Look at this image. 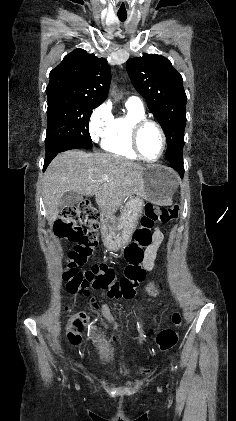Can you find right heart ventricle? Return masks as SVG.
I'll use <instances>...</instances> for the list:
<instances>
[{
	"mask_svg": "<svg viewBox=\"0 0 236 421\" xmlns=\"http://www.w3.org/2000/svg\"><path fill=\"white\" fill-rule=\"evenodd\" d=\"M142 104L128 101L126 112L112 118L101 137V148L115 157L137 161L140 158L135 153L131 139L130 128L134 121L145 118Z\"/></svg>",
	"mask_w": 236,
	"mask_h": 421,
	"instance_id": "e07e8e85",
	"label": "right heart ventricle"
}]
</instances>
